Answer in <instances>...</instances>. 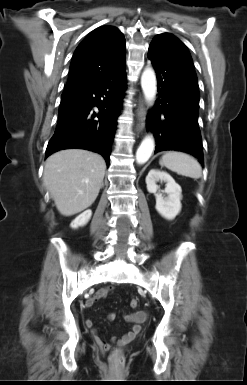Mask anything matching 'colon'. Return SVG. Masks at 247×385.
I'll return each instance as SVG.
<instances>
[{
    "instance_id": "colon-1",
    "label": "colon",
    "mask_w": 247,
    "mask_h": 385,
    "mask_svg": "<svg viewBox=\"0 0 247 385\" xmlns=\"http://www.w3.org/2000/svg\"><path fill=\"white\" fill-rule=\"evenodd\" d=\"M138 301L137 300H132L130 305L132 308H136L138 306ZM121 361V349L117 348L114 349L112 352V364L114 366H117Z\"/></svg>"
}]
</instances>
